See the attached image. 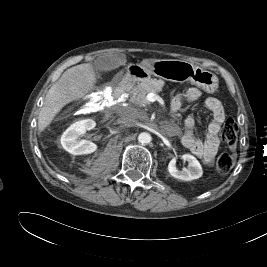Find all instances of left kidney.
I'll return each instance as SVG.
<instances>
[{
    "label": "left kidney",
    "instance_id": "1",
    "mask_svg": "<svg viewBox=\"0 0 267 267\" xmlns=\"http://www.w3.org/2000/svg\"><path fill=\"white\" fill-rule=\"evenodd\" d=\"M182 158L188 162V168L178 170L176 168V159L173 158L168 164V171L170 175L183 181L200 178L203 174V170L199 161L191 154H184Z\"/></svg>",
    "mask_w": 267,
    "mask_h": 267
}]
</instances>
